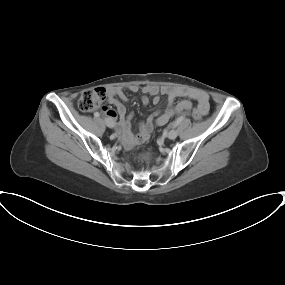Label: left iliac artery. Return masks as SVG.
<instances>
[{
  "instance_id": "obj_1",
  "label": "left iliac artery",
  "mask_w": 285,
  "mask_h": 285,
  "mask_svg": "<svg viewBox=\"0 0 285 285\" xmlns=\"http://www.w3.org/2000/svg\"><path fill=\"white\" fill-rule=\"evenodd\" d=\"M182 120H183L182 117L178 118V119L174 122L173 126H174V127H177V126L181 123Z\"/></svg>"
}]
</instances>
